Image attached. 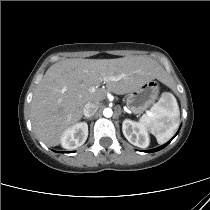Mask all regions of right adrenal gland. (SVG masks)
<instances>
[{"mask_svg":"<svg viewBox=\"0 0 210 210\" xmlns=\"http://www.w3.org/2000/svg\"><path fill=\"white\" fill-rule=\"evenodd\" d=\"M84 119L92 120V117H84Z\"/></svg>","mask_w":210,"mask_h":210,"instance_id":"1","label":"right adrenal gland"}]
</instances>
